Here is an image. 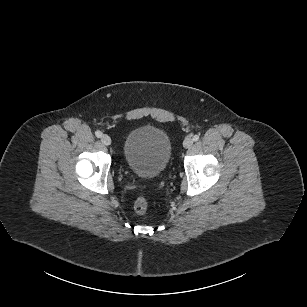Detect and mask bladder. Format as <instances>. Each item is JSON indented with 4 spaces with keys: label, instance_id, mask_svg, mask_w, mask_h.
Masks as SVG:
<instances>
[{
    "label": "bladder",
    "instance_id": "31cf9c89",
    "mask_svg": "<svg viewBox=\"0 0 307 307\" xmlns=\"http://www.w3.org/2000/svg\"><path fill=\"white\" fill-rule=\"evenodd\" d=\"M171 151L167 133L151 125L131 130L123 144L126 166L133 174L146 179L156 178L165 171Z\"/></svg>",
    "mask_w": 307,
    "mask_h": 307
}]
</instances>
